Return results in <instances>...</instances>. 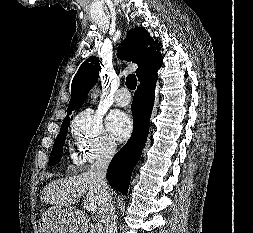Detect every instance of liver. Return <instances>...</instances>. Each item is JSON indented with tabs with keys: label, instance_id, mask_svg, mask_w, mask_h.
Masks as SVG:
<instances>
[{
	"label": "liver",
	"instance_id": "6515ba94",
	"mask_svg": "<svg viewBox=\"0 0 253 233\" xmlns=\"http://www.w3.org/2000/svg\"><path fill=\"white\" fill-rule=\"evenodd\" d=\"M99 194L100 187L96 178L87 171L51 181L44 187L40 199L46 204L68 206L86 195L87 202L98 204Z\"/></svg>",
	"mask_w": 253,
	"mask_h": 233
}]
</instances>
